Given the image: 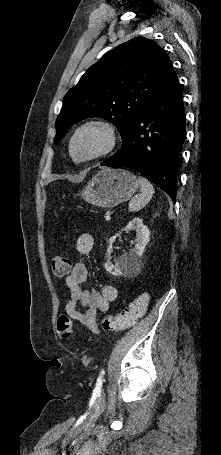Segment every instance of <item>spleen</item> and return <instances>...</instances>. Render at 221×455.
Returning a JSON list of instances; mask_svg holds the SVG:
<instances>
[{
	"instance_id": "obj_1",
	"label": "spleen",
	"mask_w": 221,
	"mask_h": 455,
	"mask_svg": "<svg viewBox=\"0 0 221 455\" xmlns=\"http://www.w3.org/2000/svg\"><path fill=\"white\" fill-rule=\"evenodd\" d=\"M139 183L141 186V194L135 195L129 202V211L137 212L141 210L151 200L154 194L152 184L144 177L139 176Z\"/></svg>"
}]
</instances>
